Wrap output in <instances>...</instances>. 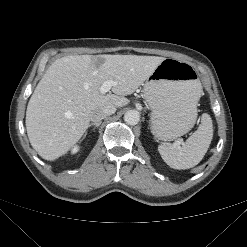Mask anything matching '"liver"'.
<instances>
[{
    "instance_id": "1",
    "label": "liver",
    "mask_w": 247,
    "mask_h": 247,
    "mask_svg": "<svg viewBox=\"0 0 247 247\" xmlns=\"http://www.w3.org/2000/svg\"><path fill=\"white\" fill-rule=\"evenodd\" d=\"M166 58L138 55H71L55 60L37 84L27 106L31 146L45 160L65 155L89 127L90 114L129 103L132 94ZM116 82L111 92L100 88Z\"/></svg>"
}]
</instances>
